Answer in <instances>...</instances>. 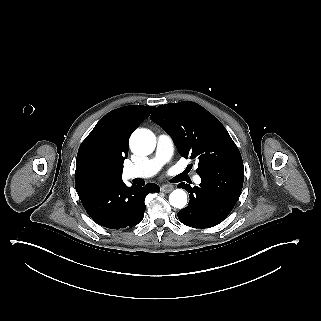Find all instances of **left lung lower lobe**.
Segmentation results:
<instances>
[{
    "instance_id": "left-lung-lower-lobe-1",
    "label": "left lung lower lobe",
    "mask_w": 321,
    "mask_h": 321,
    "mask_svg": "<svg viewBox=\"0 0 321 321\" xmlns=\"http://www.w3.org/2000/svg\"><path fill=\"white\" fill-rule=\"evenodd\" d=\"M199 176L202 179L199 186L178 184L190 196L188 206L178 212V218L186 226L209 228L221 223L235 206L243 187L244 166H219Z\"/></svg>"
}]
</instances>
